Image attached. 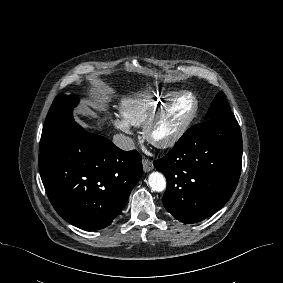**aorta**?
I'll return each mask as SVG.
<instances>
[{
	"mask_svg": "<svg viewBox=\"0 0 283 283\" xmlns=\"http://www.w3.org/2000/svg\"><path fill=\"white\" fill-rule=\"evenodd\" d=\"M149 186L153 191L162 192L166 188V179L160 172H152L148 178Z\"/></svg>",
	"mask_w": 283,
	"mask_h": 283,
	"instance_id": "aorta-1",
	"label": "aorta"
}]
</instances>
